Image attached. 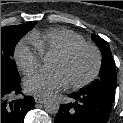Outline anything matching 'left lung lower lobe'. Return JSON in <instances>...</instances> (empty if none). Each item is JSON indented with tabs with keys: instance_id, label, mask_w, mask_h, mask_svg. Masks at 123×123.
<instances>
[{
	"instance_id": "left-lung-lower-lobe-1",
	"label": "left lung lower lobe",
	"mask_w": 123,
	"mask_h": 123,
	"mask_svg": "<svg viewBox=\"0 0 123 123\" xmlns=\"http://www.w3.org/2000/svg\"><path fill=\"white\" fill-rule=\"evenodd\" d=\"M69 96L74 102L60 106L54 123H107L114 94L82 90Z\"/></svg>"
}]
</instances>
